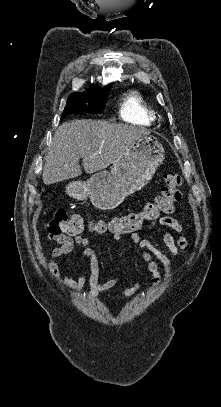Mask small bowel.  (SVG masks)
Here are the masks:
<instances>
[{
	"mask_svg": "<svg viewBox=\"0 0 221 407\" xmlns=\"http://www.w3.org/2000/svg\"><path fill=\"white\" fill-rule=\"evenodd\" d=\"M166 228L177 233H183L184 227L177 219L170 216L151 221L149 226V229H156L158 231L165 248L173 256L177 257L180 255L181 251L187 249L189 245L188 240L184 235L175 240L173 235L166 230ZM112 238L118 240L119 236L112 235ZM130 239L135 243V249L140 252L141 258L151 274L149 288L153 289L157 287L162 280L168 279L172 271L169 257L162 251L158 250L149 240L140 238L136 233L130 234ZM52 240L57 244V247H55L50 253L47 261V268L54 280L68 292L75 295L86 283H88L90 285V297L96 299L102 293L117 286L118 280L116 278L105 282L99 280V262L88 238L80 235L73 238L61 235L58 237H52ZM79 247L81 248L82 257L89 259L88 270L77 278L71 276L61 277L56 259L70 255ZM138 288L139 284L137 283L132 288L119 291L118 294L122 297H129L133 295Z\"/></svg>",
	"mask_w": 221,
	"mask_h": 407,
	"instance_id": "1",
	"label": "small bowel"
}]
</instances>
